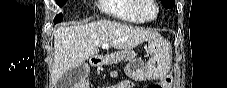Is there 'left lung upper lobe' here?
Segmentation results:
<instances>
[{
	"mask_svg": "<svg viewBox=\"0 0 227 88\" xmlns=\"http://www.w3.org/2000/svg\"><path fill=\"white\" fill-rule=\"evenodd\" d=\"M175 0H161L162 5L167 8H172L174 6Z\"/></svg>",
	"mask_w": 227,
	"mask_h": 88,
	"instance_id": "1",
	"label": "left lung upper lobe"
}]
</instances>
